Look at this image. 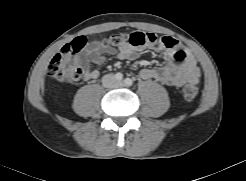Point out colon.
<instances>
[{
	"label": "colon",
	"mask_w": 246,
	"mask_h": 181,
	"mask_svg": "<svg viewBox=\"0 0 246 181\" xmlns=\"http://www.w3.org/2000/svg\"><path fill=\"white\" fill-rule=\"evenodd\" d=\"M163 37L151 32L136 31L130 34H114L108 42L116 44L121 41L129 42L134 47H142L160 43ZM86 45V38L79 36L54 56L49 65L50 76L59 82L81 83L86 79V71L82 60L78 57ZM186 100H193L198 95V87L194 83H186L182 88Z\"/></svg>",
	"instance_id": "5ec220e1"
}]
</instances>
